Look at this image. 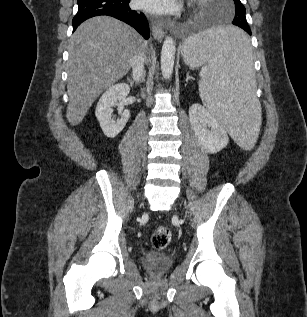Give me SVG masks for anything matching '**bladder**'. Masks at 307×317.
<instances>
[{"instance_id":"31cf9c89","label":"bladder","mask_w":307,"mask_h":317,"mask_svg":"<svg viewBox=\"0 0 307 317\" xmlns=\"http://www.w3.org/2000/svg\"><path fill=\"white\" fill-rule=\"evenodd\" d=\"M173 263V257L169 253L146 251L141 256V265L153 274L166 271Z\"/></svg>"}]
</instances>
